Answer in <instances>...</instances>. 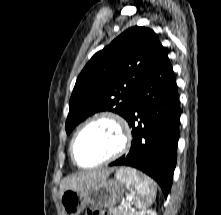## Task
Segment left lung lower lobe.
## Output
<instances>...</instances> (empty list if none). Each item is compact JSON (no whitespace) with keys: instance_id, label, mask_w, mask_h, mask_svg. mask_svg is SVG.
Listing matches in <instances>:
<instances>
[{"instance_id":"1","label":"left lung lower lobe","mask_w":221,"mask_h":215,"mask_svg":"<svg viewBox=\"0 0 221 215\" xmlns=\"http://www.w3.org/2000/svg\"><path fill=\"white\" fill-rule=\"evenodd\" d=\"M180 115L176 79L162 46L128 106L125 119L132 127L131 149L110 166L143 171L160 185L166 198L176 166Z\"/></svg>"}]
</instances>
